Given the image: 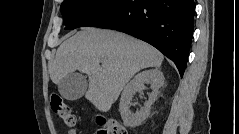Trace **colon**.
<instances>
[{
	"label": "colon",
	"instance_id": "5ec220e1",
	"mask_svg": "<svg viewBox=\"0 0 239 134\" xmlns=\"http://www.w3.org/2000/svg\"><path fill=\"white\" fill-rule=\"evenodd\" d=\"M50 107L65 122L70 131L75 132L76 116L59 94H51ZM97 134H127V131L125 126L117 120L102 117L98 121Z\"/></svg>",
	"mask_w": 239,
	"mask_h": 134
}]
</instances>
